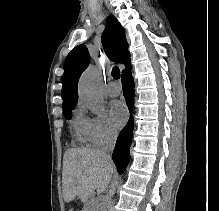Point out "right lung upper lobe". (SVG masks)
<instances>
[{"label":"right lung upper lobe","instance_id":"right-lung-upper-lobe-1","mask_svg":"<svg viewBox=\"0 0 219 211\" xmlns=\"http://www.w3.org/2000/svg\"><path fill=\"white\" fill-rule=\"evenodd\" d=\"M102 45L112 61L122 63L125 66L130 64L125 30L113 15L107 19V25L102 34ZM89 60V52L85 45L76 46L67 55L62 76L63 105L77 103L78 81L81 73L87 68Z\"/></svg>","mask_w":219,"mask_h":211}]
</instances>
